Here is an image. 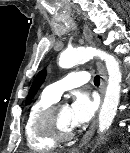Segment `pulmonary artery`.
<instances>
[{
  "label": "pulmonary artery",
  "mask_w": 130,
  "mask_h": 153,
  "mask_svg": "<svg viewBox=\"0 0 130 153\" xmlns=\"http://www.w3.org/2000/svg\"><path fill=\"white\" fill-rule=\"evenodd\" d=\"M89 75L87 72H73L61 80H58L45 88V92L51 97L58 100L63 92L81 86L88 82Z\"/></svg>",
  "instance_id": "pulmonary-artery-1"
}]
</instances>
